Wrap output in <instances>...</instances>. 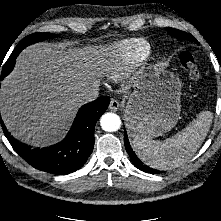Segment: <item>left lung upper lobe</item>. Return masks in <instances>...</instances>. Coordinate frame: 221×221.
Masks as SVG:
<instances>
[{"label":"left lung upper lobe","mask_w":221,"mask_h":221,"mask_svg":"<svg viewBox=\"0 0 221 221\" xmlns=\"http://www.w3.org/2000/svg\"><path fill=\"white\" fill-rule=\"evenodd\" d=\"M167 30H168V33L173 37L184 39V40L195 41V39L191 35L187 34L186 32H183L174 28H167Z\"/></svg>","instance_id":"left-lung-upper-lobe-1"}]
</instances>
